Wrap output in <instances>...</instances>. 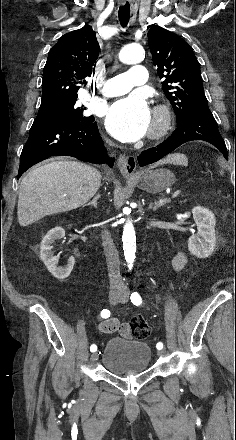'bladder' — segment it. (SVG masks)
<instances>
[{
  "mask_svg": "<svg viewBox=\"0 0 236 440\" xmlns=\"http://www.w3.org/2000/svg\"><path fill=\"white\" fill-rule=\"evenodd\" d=\"M152 351L150 346L135 339L111 338L105 345L102 355V365L111 373L137 374L150 368Z\"/></svg>",
  "mask_w": 236,
  "mask_h": 440,
  "instance_id": "obj_1",
  "label": "bladder"
}]
</instances>
